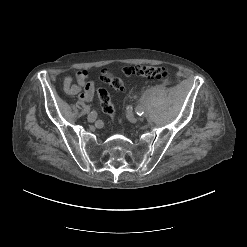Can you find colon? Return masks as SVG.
Listing matches in <instances>:
<instances>
[{
	"mask_svg": "<svg viewBox=\"0 0 247 247\" xmlns=\"http://www.w3.org/2000/svg\"><path fill=\"white\" fill-rule=\"evenodd\" d=\"M123 72L127 76H140L147 80L155 82H166L169 79V72L167 68L163 66H127L123 69ZM102 78L114 90L118 92L126 91V85L123 82V80L117 76H114L109 69H104L102 71ZM98 98L103 112H105L108 116L114 119L116 111L111 102L109 93L105 89H100L98 91Z\"/></svg>",
	"mask_w": 247,
	"mask_h": 247,
	"instance_id": "1",
	"label": "colon"
}]
</instances>
